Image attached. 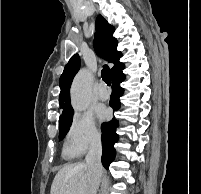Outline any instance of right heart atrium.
<instances>
[{
	"instance_id": "obj_1",
	"label": "right heart atrium",
	"mask_w": 201,
	"mask_h": 194,
	"mask_svg": "<svg viewBox=\"0 0 201 194\" xmlns=\"http://www.w3.org/2000/svg\"><path fill=\"white\" fill-rule=\"evenodd\" d=\"M100 141V132L90 113H75L65 137L67 155L78 156L95 147Z\"/></svg>"
}]
</instances>
